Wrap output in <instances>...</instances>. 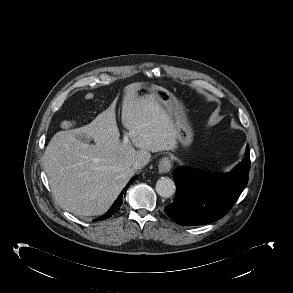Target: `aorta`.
Wrapping results in <instances>:
<instances>
[{"mask_svg": "<svg viewBox=\"0 0 293 293\" xmlns=\"http://www.w3.org/2000/svg\"><path fill=\"white\" fill-rule=\"evenodd\" d=\"M175 183L168 177H162L156 182V192L164 198H169L175 193Z\"/></svg>", "mask_w": 293, "mask_h": 293, "instance_id": "1", "label": "aorta"}]
</instances>
